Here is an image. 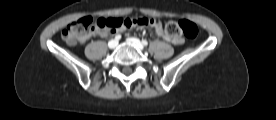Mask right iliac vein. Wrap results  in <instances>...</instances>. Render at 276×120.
<instances>
[{
    "label": "right iliac vein",
    "mask_w": 276,
    "mask_h": 120,
    "mask_svg": "<svg viewBox=\"0 0 276 120\" xmlns=\"http://www.w3.org/2000/svg\"><path fill=\"white\" fill-rule=\"evenodd\" d=\"M118 46V41H116V40H111V41H109V43H108V47L110 48V49H114V48H116Z\"/></svg>",
    "instance_id": "right-iliac-vein-1"
}]
</instances>
